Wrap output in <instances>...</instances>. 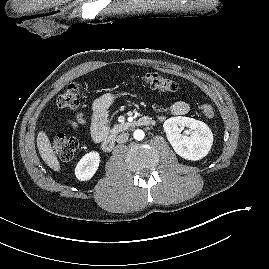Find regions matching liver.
<instances>
[{"instance_id":"6515ba94","label":"liver","mask_w":269,"mask_h":269,"mask_svg":"<svg viewBox=\"0 0 269 269\" xmlns=\"http://www.w3.org/2000/svg\"><path fill=\"white\" fill-rule=\"evenodd\" d=\"M37 147L43 161L54 171L60 170V164L53 152L50 140L44 131H40L37 136Z\"/></svg>"}]
</instances>
